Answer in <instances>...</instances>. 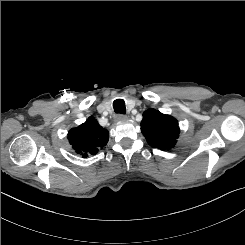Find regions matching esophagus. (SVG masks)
I'll use <instances>...</instances> for the list:
<instances>
[{
	"label": "esophagus",
	"mask_w": 245,
	"mask_h": 245,
	"mask_svg": "<svg viewBox=\"0 0 245 245\" xmlns=\"http://www.w3.org/2000/svg\"><path fill=\"white\" fill-rule=\"evenodd\" d=\"M115 118L117 121H125V120H127L128 117L126 115H123V114H118Z\"/></svg>",
	"instance_id": "obj_1"
}]
</instances>
